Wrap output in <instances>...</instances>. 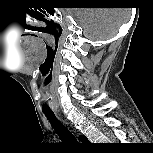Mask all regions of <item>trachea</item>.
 <instances>
[{"instance_id":"3493384b","label":"trachea","mask_w":153,"mask_h":153,"mask_svg":"<svg viewBox=\"0 0 153 153\" xmlns=\"http://www.w3.org/2000/svg\"><path fill=\"white\" fill-rule=\"evenodd\" d=\"M44 114L47 117V119L51 122L52 127L55 129L56 133L58 134L59 138L62 140L63 143L66 144L78 143L74 135L56 119L53 112L45 111Z\"/></svg>"}]
</instances>
